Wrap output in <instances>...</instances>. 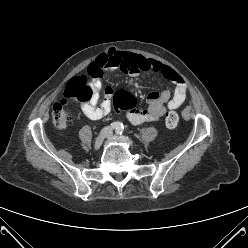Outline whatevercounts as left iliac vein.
<instances>
[{"mask_svg":"<svg viewBox=\"0 0 248 248\" xmlns=\"http://www.w3.org/2000/svg\"><path fill=\"white\" fill-rule=\"evenodd\" d=\"M107 139H108L109 141H117V140H118L117 138H115V137L113 136V134H112V132H111L110 130H109V132H108Z\"/></svg>","mask_w":248,"mask_h":248,"instance_id":"4c4485c4","label":"left iliac vein"}]
</instances>
